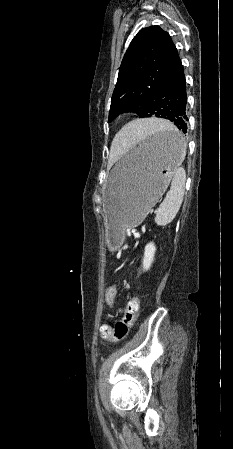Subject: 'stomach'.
<instances>
[{
    "label": "stomach",
    "mask_w": 233,
    "mask_h": 449,
    "mask_svg": "<svg viewBox=\"0 0 233 449\" xmlns=\"http://www.w3.org/2000/svg\"><path fill=\"white\" fill-rule=\"evenodd\" d=\"M179 136L178 131L170 130L153 133L111 169L104 187L106 237L111 250L119 247L126 228L144 220L167 189L183 159Z\"/></svg>",
    "instance_id": "obj_1"
}]
</instances>
